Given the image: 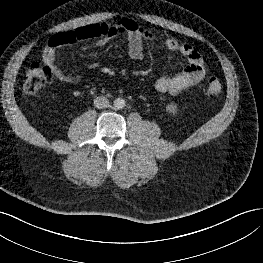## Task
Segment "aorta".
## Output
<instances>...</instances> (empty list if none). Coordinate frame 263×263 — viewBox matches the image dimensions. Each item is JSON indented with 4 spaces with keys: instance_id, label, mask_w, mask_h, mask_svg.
<instances>
[{
    "instance_id": "762f6f07",
    "label": "aorta",
    "mask_w": 263,
    "mask_h": 263,
    "mask_svg": "<svg viewBox=\"0 0 263 263\" xmlns=\"http://www.w3.org/2000/svg\"><path fill=\"white\" fill-rule=\"evenodd\" d=\"M113 103L116 109H123L126 105L125 100L123 98H116Z\"/></svg>"
}]
</instances>
